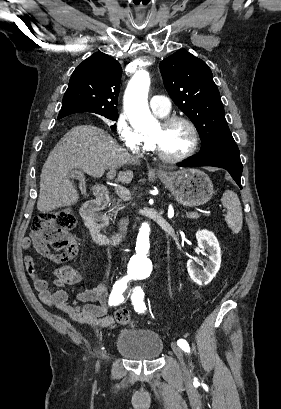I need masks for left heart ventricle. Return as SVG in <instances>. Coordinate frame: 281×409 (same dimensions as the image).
Listing matches in <instances>:
<instances>
[{
  "label": "left heart ventricle",
  "mask_w": 281,
  "mask_h": 409,
  "mask_svg": "<svg viewBox=\"0 0 281 409\" xmlns=\"http://www.w3.org/2000/svg\"><path fill=\"white\" fill-rule=\"evenodd\" d=\"M147 135L155 137L160 149L169 156L185 153L191 144V134L181 122H174L165 128L157 124Z\"/></svg>",
  "instance_id": "left-heart-ventricle-1"
}]
</instances>
